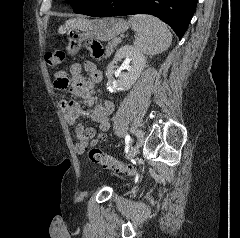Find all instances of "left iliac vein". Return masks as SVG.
I'll use <instances>...</instances> for the list:
<instances>
[{
    "label": "left iliac vein",
    "mask_w": 240,
    "mask_h": 238,
    "mask_svg": "<svg viewBox=\"0 0 240 238\" xmlns=\"http://www.w3.org/2000/svg\"><path fill=\"white\" fill-rule=\"evenodd\" d=\"M140 146H141V144H140ZM140 146H136V148L134 150H130L128 152V154L126 155V158L127 159L134 158L137 155V153L139 152Z\"/></svg>",
    "instance_id": "4c4485c4"
}]
</instances>
